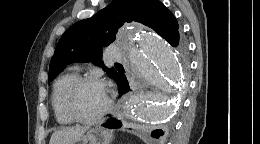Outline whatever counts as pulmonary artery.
<instances>
[{
    "instance_id": "1",
    "label": "pulmonary artery",
    "mask_w": 260,
    "mask_h": 144,
    "mask_svg": "<svg viewBox=\"0 0 260 144\" xmlns=\"http://www.w3.org/2000/svg\"><path fill=\"white\" fill-rule=\"evenodd\" d=\"M108 55L113 60H122L124 59V56L121 52H119L116 48H109Z\"/></svg>"
}]
</instances>
